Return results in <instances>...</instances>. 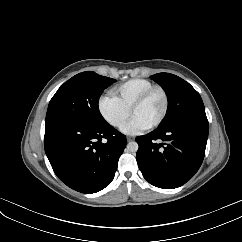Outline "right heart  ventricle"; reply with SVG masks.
Masks as SVG:
<instances>
[{
    "label": "right heart ventricle",
    "mask_w": 242,
    "mask_h": 242,
    "mask_svg": "<svg viewBox=\"0 0 242 242\" xmlns=\"http://www.w3.org/2000/svg\"><path fill=\"white\" fill-rule=\"evenodd\" d=\"M154 84L146 79H130L111 90V95L123 107L130 110L133 102Z\"/></svg>",
    "instance_id": "1"
}]
</instances>
